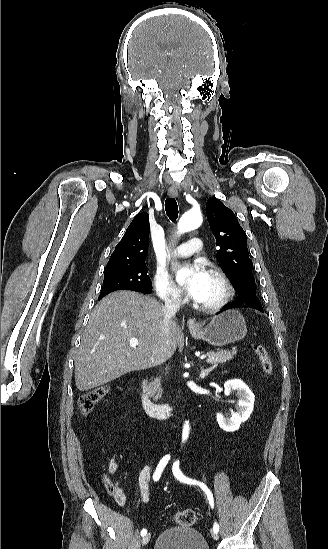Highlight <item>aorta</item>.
Masks as SVG:
<instances>
[{"mask_svg": "<svg viewBox=\"0 0 328 549\" xmlns=\"http://www.w3.org/2000/svg\"><path fill=\"white\" fill-rule=\"evenodd\" d=\"M202 223V215L199 211L190 210L182 215L180 218L177 229L178 233L182 234L185 232L192 231L197 229ZM179 281V280H178ZM189 422L186 421L183 427L182 440L185 441L189 435Z\"/></svg>", "mask_w": 328, "mask_h": 549, "instance_id": "762f6f07", "label": "aorta"}]
</instances>
